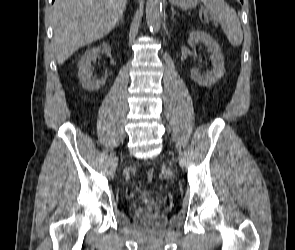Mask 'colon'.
<instances>
[{
  "mask_svg": "<svg viewBox=\"0 0 295 250\" xmlns=\"http://www.w3.org/2000/svg\"><path fill=\"white\" fill-rule=\"evenodd\" d=\"M154 176H155V172H154V170H153V169H149V170L147 171V174H146V178H147V180H148V181L153 180Z\"/></svg>",
  "mask_w": 295,
  "mask_h": 250,
  "instance_id": "5ec220e1",
  "label": "colon"
}]
</instances>
